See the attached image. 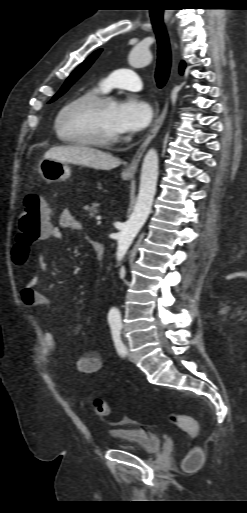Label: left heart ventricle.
Returning a JSON list of instances; mask_svg holds the SVG:
<instances>
[{"mask_svg":"<svg viewBox=\"0 0 247 513\" xmlns=\"http://www.w3.org/2000/svg\"><path fill=\"white\" fill-rule=\"evenodd\" d=\"M116 107L117 103L114 101L99 107L73 108L63 117L62 130L68 137H119L114 124Z\"/></svg>","mask_w":247,"mask_h":513,"instance_id":"b2bd125f","label":"left heart ventricle"}]
</instances>
